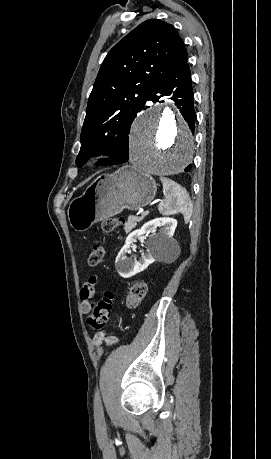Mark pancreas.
I'll use <instances>...</instances> for the list:
<instances>
[{
	"mask_svg": "<svg viewBox=\"0 0 271 459\" xmlns=\"http://www.w3.org/2000/svg\"><path fill=\"white\" fill-rule=\"evenodd\" d=\"M144 216H129L127 222H125V231L128 233V231H131L132 228H135L137 226V222H141L143 220Z\"/></svg>",
	"mask_w": 271,
	"mask_h": 459,
	"instance_id": "1",
	"label": "pancreas"
}]
</instances>
